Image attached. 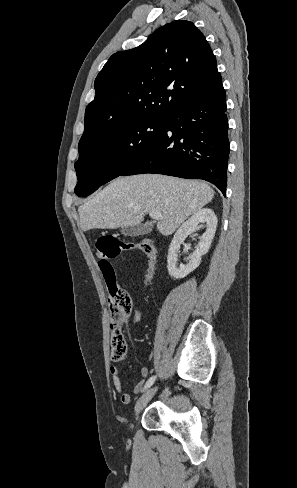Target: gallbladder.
Here are the masks:
<instances>
[{
    "mask_svg": "<svg viewBox=\"0 0 297 488\" xmlns=\"http://www.w3.org/2000/svg\"><path fill=\"white\" fill-rule=\"evenodd\" d=\"M151 230V224L130 225L121 228V233L125 236L136 237L147 234Z\"/></svg>",
    "mask_w": 297,
    "mask_h": 488,
    "instance_id": "obj_1",
    "label": "gallbladder"
}]
</instances>
